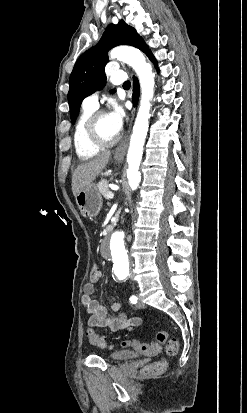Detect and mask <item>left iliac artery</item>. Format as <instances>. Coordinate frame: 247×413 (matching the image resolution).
I'll return each instance as SVG.
<instances>
[{
	"instance_id": "44dca946",
	"label": "left iliac artery",
	"mask_w": 247,
	"mask_h": 413,
	"mask_svg": "<svg viewBox=\"0 0 247 413\" xmlns=\"http://www.w3.org/2000/svg\"><path fill=\"white\" fill-rule=\"evenodd\" d=\"M137 299H138V298L133 295V296L130 297V302H131L132 304H135V303L137 302Z\"/></svg>"
}]
</instances>
